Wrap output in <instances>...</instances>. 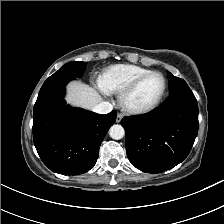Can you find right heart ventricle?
Wrapping results in <instances>:
<instances>
[{
	"instance_id": "right-heart-ventricle-1",
	"label": "right heart ventricle",
	"mask_w": 224,
	"mask_h": 224,
	"mask_svg": "<svg viewBox=\"0 0 224 224\" xmlns=\"http://www.w3.org/2000/svg\"><path fill=\"white\" fill-rule=\"evenodd\" d=\"M152 70L132 64H119L107 68L99 79L106 93H121L137 77Z\"/></svg>"
}]
</instances>
